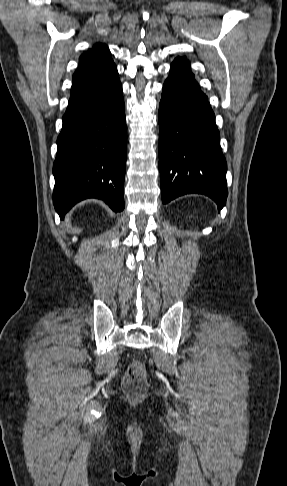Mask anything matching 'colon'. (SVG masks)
I'll list each match as a JSON object with an SVG mask.
<instances>
[{
	"instance_id": "obj_1",
	"label": "colon",
	"mask_w": 287,
	"mask_h": 486,
	"mask_svg": "<svg viewBox=\"0 0 287 486\" xmlns=\"http://www.w3.org/2000/svg\"><path fill=\"white\" fill-rule=\"evenodd\" d=\"M147 389L146 370L141 362L132 363L123 379L124 392L133 399L140 398Z\"/></svg>"
}]
</instances>
